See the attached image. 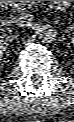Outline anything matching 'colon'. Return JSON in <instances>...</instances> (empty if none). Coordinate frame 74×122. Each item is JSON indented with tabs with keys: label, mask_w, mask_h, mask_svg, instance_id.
Wrapping results in <instances>:
<instances>
[{
	"label": "colon",
	"mask_w": 74,
	"mask_h": 122,
	"mask_svg": "<svg viewBox=\"0 0 74 122\" xmlns=\"http://www.w3.org/2000/svg\"><path fill=\"white\" fill-rule=\"evenodd\" d=\"M59 2L62 4V6H65L67 3V1H59Z\"/></svg>",
	"instance_id": "1"
}]
</instances>
